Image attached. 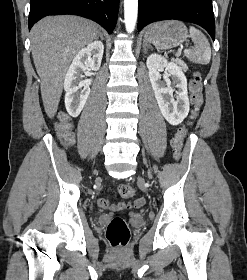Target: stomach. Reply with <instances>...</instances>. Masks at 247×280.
I'll return each instance as SVG.
<instances>
[{
	"mask_svg": "<svg viewBox=\"0 0 247 280\" xmlns=\"http://www.w3.org/2000/svg\"><path fill=\"white\" fill-rule=\"evenodd\" d=\"M144 38L157 49H171L187 40L188 31L181 21H161L148 27Z\"/></svg>",
	"mask_w": 247,
	"mask_h": 280,
	"instance_id": "0dacf381",
	"label": "stomach"
}]
</instances>
